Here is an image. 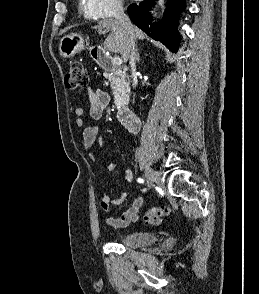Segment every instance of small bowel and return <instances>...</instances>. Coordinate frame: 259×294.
Instances as JSON below:
<instances>
[{"label": "small bowel", "mask_w": 259, "mask_h": 294, "mask_svg": "<svg viewBox=\"0 0 259 294\" xmlns=\"http://www.w3.org/2000/svg\"><path fill=\"white\" fill-rule=\"evenodd\" d=\"M89 114L94 120L101 119L105 109L107 108L110 97L103 90H89ZM76 116V125L83 129V146L91 160H95L94 147L96 141L100 136V128L95 125H86L84 121L85 110L81 107H77L74 111ZM109 171L116 170L114 163L107 165ZM123 181L130 182L132 180V173L126 170L122 176ZM123 197L111 198L109 195H103L100 201V207L103 211L109 212L112 205H120L123 202ZM144 199L141 196L134 198L131 202V206L120 217L107 216L105 222L107 225L113 228H124L128 225L136 222L139 218V212L143 206Z\"/></svg>", "instance_id": "1"}]
</instances>
